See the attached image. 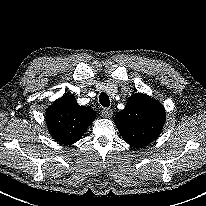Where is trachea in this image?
Wrapping results in <instances>:
<instances>
[{
	"mask_svg": "<svg viewBox=\"0 0 206 206\" xmlns=\"http://www.w3.org/2000/svg\"><path fill=\"white\" fill-rule=\"evenodd\" d=\"M99 102L103 107H109L110 105L109 96L106 93H101L99 96Z\"/></svg>",
	"mask_w": 206,
	"mask_h": 206,
	"instance_id": "trachea-1",
	"label": "trachea"
}]
</instances>
